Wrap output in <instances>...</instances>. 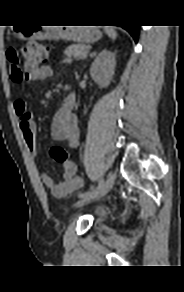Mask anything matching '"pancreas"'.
<instances>
[{"label":"pancreas","instance_id":"1","mask_svg":"<svg viewBox=\"0 0 184 292\" xmlns=\"http://www.w3.org/2000/svg\"><path fill=\"white\" fill-rule=\"evenodd\" d=\"M88 49L89 46L86 44H72L65 49L64 54L67 57L72 56L74 58L85 57Z\"/></svg>","mask_w":184,"mask_h":292}]
</instances>
